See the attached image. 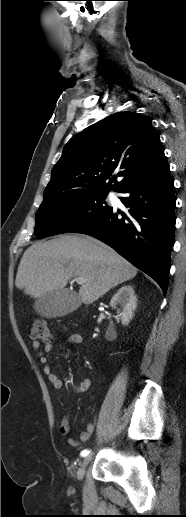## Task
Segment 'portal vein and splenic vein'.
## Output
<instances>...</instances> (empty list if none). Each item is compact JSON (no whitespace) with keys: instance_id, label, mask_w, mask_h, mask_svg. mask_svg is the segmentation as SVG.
Segmentation results:
<instances>
[{"instance_id":"portal-vein-and-splenic-vein-1","label":"portal vein and splenic vein","mask_w":186,"mask_h":517,"mask_svg":"<svg viewBox=\"0 0 186 517\" xmlns=\"http://www.w3.org/2000/svg\"><path fill=\"white\" fill-rule=\"evenodd\" d=\"M75 281H76L78 284L82 285V284H84V283L86 282V279H85V278H83V277H77V278H75Z\"/></svg>"}]
</instances>
